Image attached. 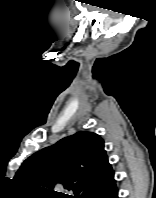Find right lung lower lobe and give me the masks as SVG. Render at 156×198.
<instances>
[{
  "label": "right lung lower lobe",
  "mask_w": 156,
  "mask_h": 198,
  "mask_svg": "<svg viewBox=\"0 0 156 198\" xmlns=\"http://www.w3.org/2000/svg\"><path fill=\"white\" fill-rule=\"evenodd\" d=\"M102 198H118V190L116 186L107 192Z\"/></svg>",
  "instance_id": "98d812e1"
}]
</instances>
